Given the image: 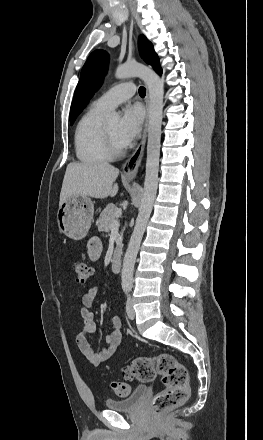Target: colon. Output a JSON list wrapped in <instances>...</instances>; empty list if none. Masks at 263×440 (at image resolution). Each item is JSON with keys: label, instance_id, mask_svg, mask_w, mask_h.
Returning a JSON list of instances; mask_svg holds the SVG:
<instances>
[{"label": "colon", "instance_id": "colon-1", "mask_svg": "<svg viewBox=\"0 0 263 440\" xmlns=\"http://www.w3.org/2000/svg\"><path fill=\"white\" fill-rule=\"evenodd\" d=\"M68 269L78 284H84L91 275V268L83 262H69ZM126 379L151 382L161 376L164 389L156 393L150 407L154 414H161L183 404L188 398V371L169 352H160L154 357H138L128 363L123 371ZM111 387L119 396H127L130 386L123 382H111Z\"/></svg>", "mask_w": 263, "mask_h": 440}]
</instances>
